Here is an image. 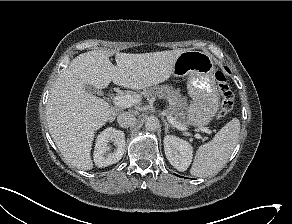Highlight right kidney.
Listing matches in <instances>:
<instances>
[{"instance_id":"right-kidney-1","label":"right kidney","mask_w":292,"mask_h":224,"mask_svg":"<svg viewBox=\"0 0 292 224\" xmlns=\"http://www.w3.org/2000/svg\"><path fill=\"white\" fill-rule=\"evenodd\" d=\"M111 141L116 145L112 152L107 143ZM125 151V134L114 128H107L102 131L95 143L94 162L95 165L102 168L117 163L122 158Z\"/></svg>"}]
</instances>
